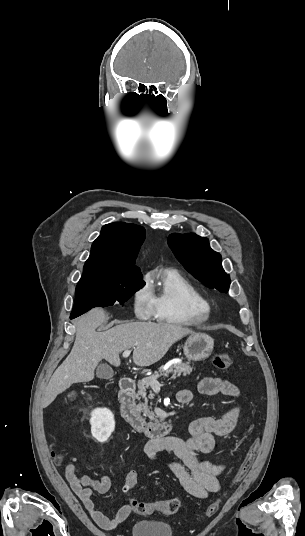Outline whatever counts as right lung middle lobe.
<instances>
[{
  "label": "right lung middle lobe",
  "instance_id": "1",
  "mask_svg": "<svg viewBox=\"0 0 305 536\" xmlns=\"http://www.w3.org/2000/svg\"><path fill=\"white\" fill-rule=\"evenodd\" d=\"M145 285L143 277L101 279L81 277L75 295L72 315H81L94 307H105L115 302L123 304Z\"/></svg>",
  "mask_w": 305,
  "mask_h": 536
}]
</instances>
